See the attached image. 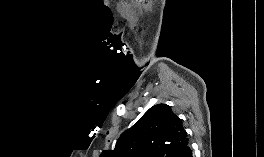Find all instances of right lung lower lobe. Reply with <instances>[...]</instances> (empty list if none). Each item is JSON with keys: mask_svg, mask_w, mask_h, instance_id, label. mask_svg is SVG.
<instances>
[{"mask_svg": "<svg viewBox=\"0 0 264 157\" xmlns=\"http://www.w3.org/2000/svg\"><path fill=\"white\" fill-rule=\"evenodd\" d=\"M176 157H193L192 150L190 149L189 145H187L184 149H182Z\"/></svg>", "mask_w": 264, "mask_h": 157, "instance_id": "right-lung-lower-lobe-1", "label": "right lung lower lobe"}]
</instances>
